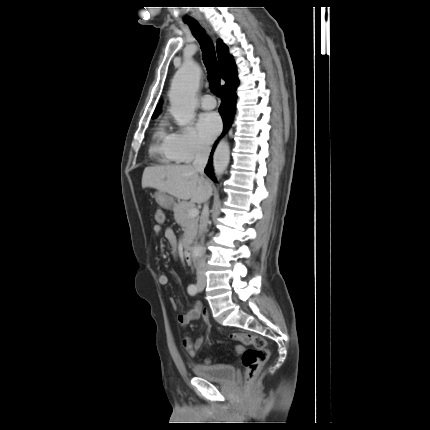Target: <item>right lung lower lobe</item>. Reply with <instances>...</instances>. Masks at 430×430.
Wrapping results in <instances>:
<instances>
[{"mask_svg": "<svg viewBox=\"0 0 430 430\" xmlns=\"http://www.w3.org/2000/svg\"><path fill=\"white\" fill-rule=\"evenodd\" d=\"M237 85L232 86V87H228V88L222 90L223 100H222L221 106L219 108V111H220V113L222 115V119H223V123H224L223 134L229 129V127H230V125L232 123V120H233V116H234V112H235V108H236V105H235L236 104V94H235V91H236ZM216 143H215V145H216ZM214 148H213L212 152L214 151ZM205 173L213 181H216L215 177L213 176L212 153H211L209 162L207 164V167L205 168Z\"/></svg>", "mask_w": 430, "mask_h": 430, "instance_id": "right-lung-lower-lobe-1", "label": "right lung lower lobe"}]
</instances>
